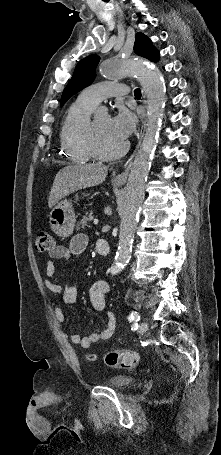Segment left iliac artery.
I'll return each instance as SVG.
<instances>
[{"mask_svg":"<svg viewBox=\"0 0 221 455\" xmlns=\"http://www.w3.org/2000/svg\"><path fill=\"white\" fill-rule=\"evenodd\" d=\"M128 319H129L130 322H132V321H136V322H137V321L140 320V316H139V314H138L137 311H133V312L130 314V316H129Z\"/></svg>","mask_w":221,"mask_h":455,"instance_id":"left-iliac-artery-1","label":"left iliac artery"}]
</instances>
